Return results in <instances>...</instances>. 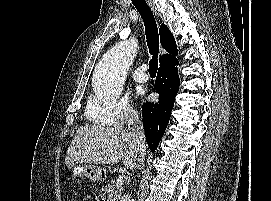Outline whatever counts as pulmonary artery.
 <instances>
[{"mask_svg": "<svg viewBox=\"0 0 271 201\" xmlns=\"http://www.w3.org/2000/svg\"><path fill=\"white\" fill-rule=\"evenodd\" d=\"M147 66L142 65L136 71L133 72L132 77L136 82L144 83L147 82L149 77L146 73Z\"/></svg>", "mask_w": 271, "mask_h": 201, "instance_id": "pulmonary-artery-1", "label": "pulmonary artery"}]
</instances>
